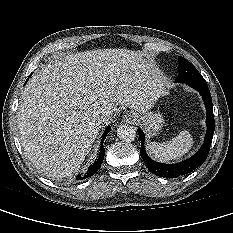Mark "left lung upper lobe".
I'll list each match as a JSON object with an SVG mask.
<instances>
[{"label":"left lung upper lobe","mask_w":233,"mask_h":233,"mask_svg":"<svg viewBox=\"0 0 233 233\" xmlns=\"http://www.w3.org/2000/svg\"><path fill=\"white\" fill-rule=\"evenodd\" d=\"M179 75L177 82L181 83H203L206 82L198 70L185 58L179 56Z\"/></svg>","instance_id":"5c2ea615"}]
</instances>
